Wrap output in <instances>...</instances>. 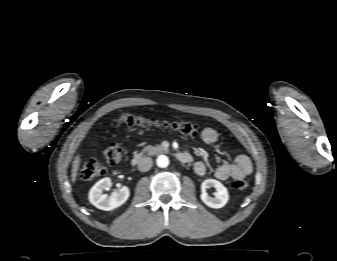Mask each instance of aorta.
Here are the masks:
<instances>
[{"mask_svg":"<svg viewBox=\"0 0 337 261\" xmlns=\"http://www.w3.org/2000/svg\"><path fill=\"white\" fill-rule=\"evenodd\" d=\"M156 163L161 168H166L169 165V159L166 155H159L156 159Z\"/></svg>","mask_w":337,"mask_h":261,"instance_id":"762f6f07","label":"aorta"}]
</instances>
